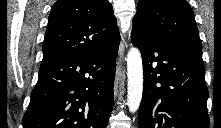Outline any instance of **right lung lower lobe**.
<instances>
[{"mask_svg": "<svg viewBox=\"0 0 221 128\" xmlns=\"http://www.w3.org/2000/svg\"><path fill=\"white\" fill-rule=\"evenodd\" d=\"M119 41L41 65L23 128H106Z\"/></svg>", "mask_w": 221, "mask_h": 128, "instance_id": "right-lung-lower-lobe-1", "label": "right lung lower lobe"}]
</instances>
